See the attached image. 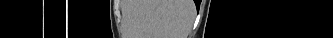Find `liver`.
<instances>
[{"label": "liver", "mask_w": 333, "mask_h": 38, "mask_svg": "<svg viewBox=\"0 0 333 38\" xmlns=\"http://www.w3.org/2000/svg\"><path fill=\"white\" fill-rule=\"evenodd\" d=\"M194 17L192 0H137L133 14L137 38H187Z\"/></svg>", "instance_id": "liver-1"}]
</instances>
